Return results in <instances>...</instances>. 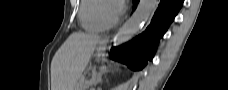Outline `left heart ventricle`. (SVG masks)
Wrapping results in <instances>:
<instances>
[{
    "instance_id": "left-heart-ventricle-1",
    "label": "left heart ventricle",
    "mask_w": 228,
    "mask_h": 90,
    "mask_svg": "<svg viewBox=\"0 0 228 90\" xmlns=\"http://www.w3.org/2000/svg\"><path fill=\"white\" fill-rule=\"evenodd\" d=\"M105 15L108 17V18H113L116 16L114 10H113V7L111 5H107L105 7Z\"/></svg>"
}]
</instances>
